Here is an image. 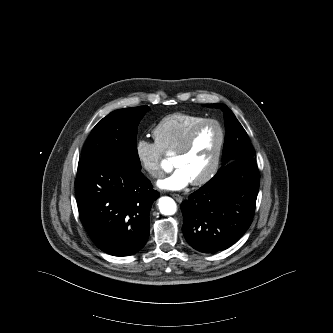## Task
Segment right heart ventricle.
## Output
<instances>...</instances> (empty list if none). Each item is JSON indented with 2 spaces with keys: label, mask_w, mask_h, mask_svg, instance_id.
<instances>
[{
  "label": "right heart ventricle",
  "mask_w": 333,
  "mask_h": 333,
  "mask_svg": "<svg viewBox=\"0 0 333 333\" xmlns=\"http://www.w3.org/2000/svg\"><path fill=\"white\" fill-rule=\"evenodd\" d=\"M204 119L201 115L180 112L167 115L152 131L155 142L163 153L175 152L190 130Z\"/></svg>",
  "instance_id": "right-heart-ventricle-1"
}]
</instances>
